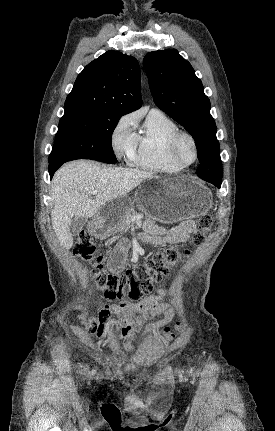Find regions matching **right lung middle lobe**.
<instances>
[{
  "label": "right lung middle lobe",
  "instance_id": "right-lung-middle-lobe-1",
  "mask_svg": "<svg viewBox=\"0 0 275 431\" xmlns=\"http://www.w3.org/2000/svg\"><path fill=\"white\" fill-rule=\"evenodd\" d=\"M121 116L81 113L64 115L59 122L49 164L76 159L116 163L111 135Z\"/></svg>",
  "mask_w": 275,
  "mask_h": 431
}]
</instances>
